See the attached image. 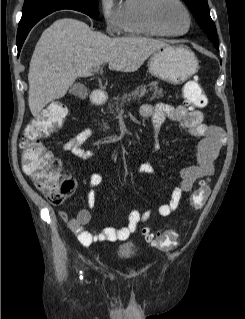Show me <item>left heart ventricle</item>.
I'll return each instance as SVG.
<instances>
[{
  "mask_svg": "<svg viewBox=\"0 0 245 319\" xmlns=\"http://www.w3.org/2000/svg\"><path fill=\"white\" fill-rule=\"evenodd\" d=\"M163 22L172 31H183L187 26V18L183 10L175 3H165L160 9Z\"/></svg>",
  "mask_w": 245,
  "mask_h": 319,
  "instance_id": "1",
  "label": "left heart ventricle"
}]
</instances>
